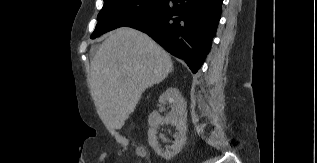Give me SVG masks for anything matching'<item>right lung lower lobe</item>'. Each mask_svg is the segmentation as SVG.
Returning a JSON list of instances; mask_svg holds the SVG:
<instances>
[{"label":"right lung lower lobe","instance_id":"1","mask_svg":"<svg viewBox=\"0 0 317 163\" xmlns=\"http://www.w3.org/2000/svg\"><path fill=\"white\" fill-rule=\"evenodd\" d=\"M223 0H168L126 27L148 34L196 73L208 54Z\"/></svg>","mask_w":317,"mask_h":163}]
</instances>
